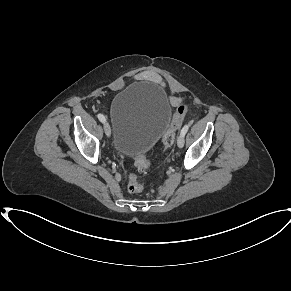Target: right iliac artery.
Returning <instances> with one entry per match:
<instances>
[{
  "label": "right iliac artery",
  "mask_w": 291,
  "mask_h": 291,
  "mask_svg": "<svg viewBox=\"0 0 291 291\" xmlns=\"http://www.w3.org/2000/svg\"><path fill=\"white\" fill-rule=\"evenodd\" d=\"M97 117H98V119H99L101 122H105V121H106L105 117H104L102 114H98Z\"/></svg>",
  "instance_id": "82829eb1"
}]
</instances>
